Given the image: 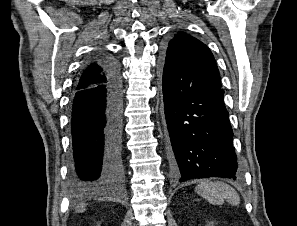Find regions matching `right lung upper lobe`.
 <instances>
[{
  "instance_id": "right-lung-upper-lobe-1",
  "label": "right lung upper lobe",
  "mask_w": 297,
  "mask_h": 226,
  "mask_svg": "<svg viewBox=\"0 0 297 226\" xmlns=\"http://www.w3.org/2000/svg\"><path fill=\"white\" fill-rule=\"evenodd\" d=\"M102 59H97L86 67L77 82L76 90L88 88L105 80V72L100 65Z\"/></svg>"
}]
</instances>
